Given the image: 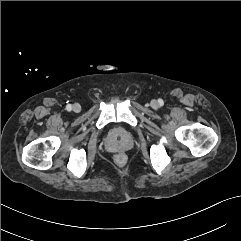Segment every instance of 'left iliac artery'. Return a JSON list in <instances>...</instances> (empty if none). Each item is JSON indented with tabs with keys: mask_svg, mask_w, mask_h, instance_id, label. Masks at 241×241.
<instances>
[{
	"mask_svg": "<svg viewBox=\"0 0 241 241\" xmlns=\"http://www.w3.org/2000/svg\"><path fill=\"white\" fill-rule=\"evenodd\" d=\"M159 104H160L161 106H163L164 102H163L162 99L159 100Z\"/></svg>",
	"mask_w": 241,
	"mask_h": 241,
	"instance_id": "44dca946",
	"label": "left iliac artery"
}]
</instances>
